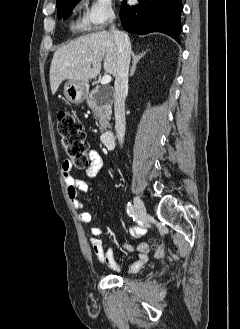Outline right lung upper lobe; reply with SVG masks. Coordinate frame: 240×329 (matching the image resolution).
Listing matches in <instances>:
<instances>
[{
    "label": "right lung upper lobe",
    "instance_id": "cb5924a9",
    "mask_svg": "<svg viewBox=\"0 0 240 329\" xmlns=\"http://www.w3.org/2000/svg\"><path fill=\"white\" fill-rule=\"evenodd\" d=\"M65 0H57V5Z\"/></svg>",
    "mask_w": 240,
    "mask_h": 329
}]
</instances>
